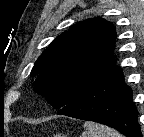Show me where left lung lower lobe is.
<instances>
[{
    "instance_id": "obj_1",
    "label": "left lung lower lobe",
    "mask_w": 144,
    "mask_h": 137,
    "mask_svg": "<svg viewBox=\"0 0 144 137\" xmlns=\"http://www.w3.org/2000/svg\"><path fill=\"white\" fill-rule=\"evenodd\" d=\"M57 114L105 124L127 137H142L132 90L120 68Z\"/></svg>"
}]
</instances>
